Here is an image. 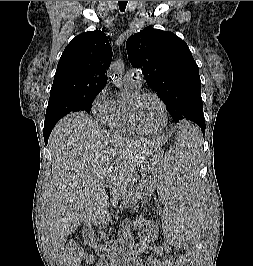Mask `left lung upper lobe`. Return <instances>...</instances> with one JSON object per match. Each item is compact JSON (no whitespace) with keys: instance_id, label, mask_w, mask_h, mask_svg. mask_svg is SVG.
I'll use <instances>...</instances> for the list:
<instances>
[{"instance_id":"obj_1","label":"left lung upper lobe","mask_w":253,"mask_h":266,"mask_svg":"<svg viewBox=\"0 0 253 266\" xmlns=\"http://www.w3.org/2000/svg\"><path fill=\"white\" fill-rule=\"evenodd\" d=\"M126 49L133 67L142 71L175 122L205 124L199 69L183 40L148 26L128 38Z\"/></svg>"}]
</instances>
